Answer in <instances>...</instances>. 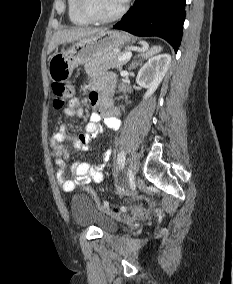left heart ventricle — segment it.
Segmentation results:
<instances>
[{"label": "left heart ventricle", "mask_w": 233, "mask_h": 284, "mask_svg": "<svg viewBox=\"0 0 233 284\" xmlns=\"http://www.w3.org/2000/svg\"><path fill=\"white\" fill-rule=\"evenodd\" d=\"M92 10L99 16L108 17L115 14L124 0H90Z\"/></svg>", "instance_id": "left-heart-ventricle-1"}]
</instances>
